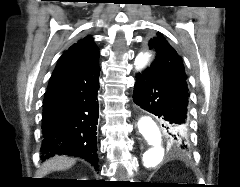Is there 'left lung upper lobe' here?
Instances as JSON below:
<instances>
[{
    "label": "left lung upper lobe",
    "mask_w": 240,
    "mask_h": 187,
    "mask_svg": "<svg viewBox=\"0 0 240 187\" xmlns=\"http://www.w3.org/2000/svg\"><path fill=\"white\" fill-rule=\"evenodd\" d=\"M149 48L156 52L155 60L149 68L164 81L188 90L182 60L175 49L163 38L161 33H158L157 36L149 40ZM163 127H165V125ZM175 130L184 135V138L189 142L188 126H176ZM166 134L169 143L172 144L167 130ZM188 146H190V144H188Z\"/></svg>",
    "instance_id": "obj_1"
}]
</instances>
